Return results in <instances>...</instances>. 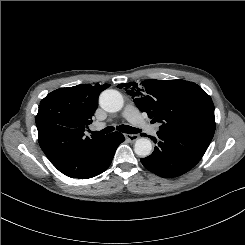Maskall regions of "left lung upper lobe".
Here are the masks:
<instances>
[{
    "label": "left lung upper lobe",
    "mask_w": 245,
    "mask_h": 245,
    "mask_svg": "<svg viewBox=\"0 0 245 245\" xmlns=\"http://www.w3.org/2000/svg\"><path fill=\"white\" fill-rule=\"evenodd\" d=\"M159 130L187 133L211 141L215 132L214 105L202 88L185 80H145L119 84Z\"/></svg>",
    "instance_id": "5c2ea615"
}]
</instances>
